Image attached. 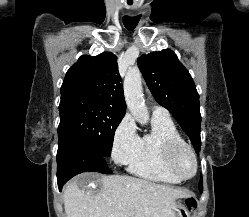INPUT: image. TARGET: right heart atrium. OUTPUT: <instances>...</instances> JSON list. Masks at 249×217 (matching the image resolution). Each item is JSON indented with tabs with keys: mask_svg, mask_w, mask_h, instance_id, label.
Listing matches in <instances>:
<instances>
[{
	"mask_svg": "<svg viewBox=\"0 0 249 217\" xmlns=\"http://www.w3.org/2000/svg\"><path fill=\"white\" fill-rule=\"evenodd\" d=\"M139 144L136 125L131 116L125 115L116 126L112 138V158L118 166L127 165Z\"/></svg>",
	"mask_w": 249,
	"mask_h": 217,
	"instance_id": "1",
	"label": "right heart atrium"
}]
</instances>
